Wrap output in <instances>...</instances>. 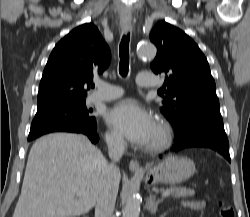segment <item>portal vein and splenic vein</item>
Listing matches in <instances>:
<instances>
[{"label": "portal vein and splenic vein", "instance_id": "1", "mask_svg": "<svg viewBox=\"0 0 250 217\" xmlns=\"http://www.w3.org/2000/svg\"><path fill=\"white\" fill-rule=\"evenodd\" d=\"M170 194H171L170 191H164V192L162 193V197H166V196H168V195H170Z\"/></svg>", "mask_w": 250, "mask_h": 217}]
</instances>
